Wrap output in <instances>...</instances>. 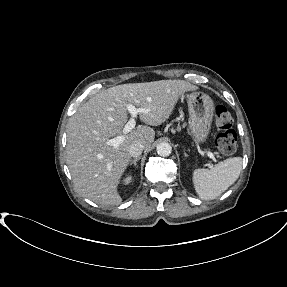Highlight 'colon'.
I'll use <instances>...</instances> for the list:
<instances>
[{
	"label": "colon",
	"instance_id": "obj_1",
	"mask_svg": "<svg viewBox=\"0 0 287 287\" xmlns=\"http://www.w3.org/2000/svg\"><path fill=\"white\" fill-rule=\"evenodd\" d=\"M214 124L220 133L216 136V146L224 155H231L237 147V134L232 129L233 118L228 109L222 105L215 108Z\"/></svg>",
	"mask_w": 287,
	"mask_h": 287
}]
</instances>
